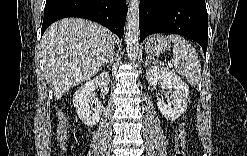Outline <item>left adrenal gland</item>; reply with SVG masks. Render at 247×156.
Listing matches in <instances>:
<instances>
[{"instance_id": "1", "label": "left adrenal gland", "mask_w": 247, "mask_h": 156, "mask_svg": "<svg viewBox=\"0 0 247 156\" xmlns=\"http://www.w3.org/2000/svg\"><path fill=\"white\" fill-rule=\"evenodd\" d=\"M149 57L148 56H146V61H145V65H148V63H149Z\"/></svg>"}]
</instances>
